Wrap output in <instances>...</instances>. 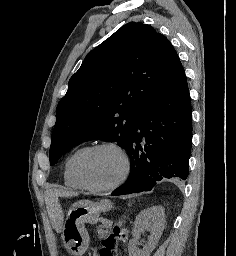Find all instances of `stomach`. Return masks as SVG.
I'll return each instance as SVG.
<instances>
[{
    "label": "stomach",
    "mask_w": 236,
    "mask_h": 256,
    "mask_svg": "<svg viewBox=\"0 0 236 256\" xmlns=\"http://www.w3.org/2000/svg\"><path fill=\"white\" fill-rule=\"evenodd\" d=\"M111 208V202L106 199L100 202L80 200L72 205L63 233L66 249L71 255L82 256L88 248L89 235L84 224L97 223L100 213Z\"/></svg>",
    "instance_id": "obj_1"
}]
</instances>
